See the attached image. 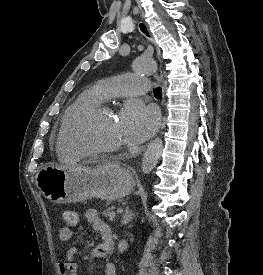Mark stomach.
Instances as JSON below:
<instances>
[{"label":"stomach","mask_w":263,"mask_h":275,"mask_svg":"<svg viewBox=\"0 0 263 275\" xmlns=\"http://www.w3.org/2000/svg\"><path fill=\"white\" fill-rule=\"evenodd\" d=\"M36 185L53 203H75L92 198L107 202L130 194L134 180L128 169L118 163L96 167L47 166L36 176Z\"/></svg>","instance_id":"1"}]
</instances>
